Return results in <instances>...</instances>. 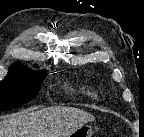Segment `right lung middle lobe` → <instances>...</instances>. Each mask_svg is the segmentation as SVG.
<instances>
[{"mask_svg": "<svg viewBox=\"0 0 144 137\" xmlns=\"http://www.w3.org/2000/svg\"><path fill=\"white\" fill-rule=\"evenodd\" d=\"M46 76L45 70L34 72L24 66L11 67L0 82V111L19 107L34 98Z\"/></svg>", "mask_w": 144, "mask_h": 137, "instance_id": "obj_1", "label": "right lung middle lobe"}]
</instances>
